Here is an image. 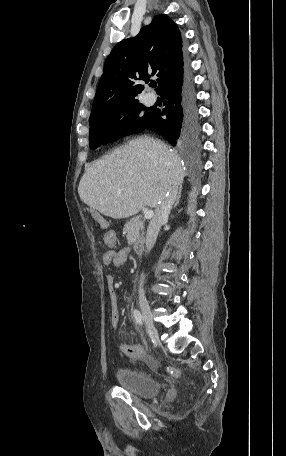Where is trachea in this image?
I'll return each mask as SVG.
<instances>
[{"instance_id": "3493384b", "label": "trachea", "mask_w": 286, "mask_h": 456, "mask_svg": "<svg viewBox=\"0 0 286 456\" xmlns=\"http://www.w3.org/2000/svg\"><path fill=\"white\" fill-rule=\"evenodd\" d=\"M150 86H151V87H156V86H157V83H151Z\"/></svg>"}]
</instances>
